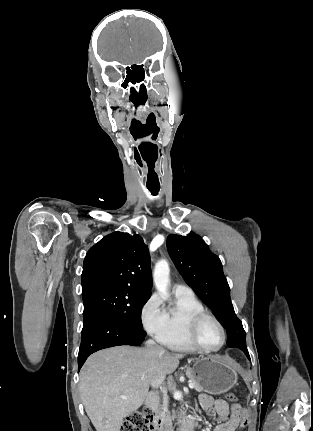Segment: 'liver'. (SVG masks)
Listing matches in <instances>:
<instances>
[{
	"mask_svg": "<svg viewBox=\"0 0 313 431\" xmlns=\"http://www.w3.org/2000/svg\"><path fill=\"white\" fill-rule=\"evenodd\" d=\"M183 356L155 346H117L92 354L80 372L79 391L96 430L120 431L124 418L145 401L155 378L172 374Z\"/></svg>",
	"mask_w": 313,
	"mask_h": 431,
	"instance_id": "6515ba94",
	"label": "liver"
}]
</instances>
